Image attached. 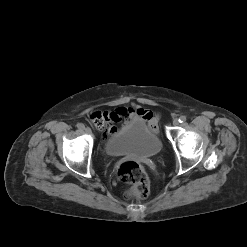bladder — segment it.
I'll return each instance as SVG.
<instances>
[{"label":"bladder","mask_w":247,"mask_h":247,"mask_svg":"<svg viewBox=\"0 0 247 247\" xmlns=\"http://www.w3.org/2000/svg\"><path fill=\"white\" fill-rule=\"evenodd\" d=\"M162 149L160 138L141 120H132L111 135L104 144L108 156L153 157Z\"/></svg>","instance_id":"31cf9c89"}]
</instances>
